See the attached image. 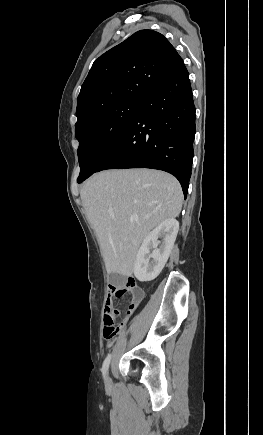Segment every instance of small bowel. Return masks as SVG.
I'll return each mask as SVG.
<instances>
[{"mask_svg":"<svg viewBox=\"0 0 263 435\" xmlns=\"http://www.w3.org/2000/svg\"><path fill=\"white\" fill-rule=\"evenodd\" d=\"M112 309H113V299L112 296L109 295V297L105 301L104 314Z\"/></svg>","mask_w":263,"mask_h":435,"instance_id":"c3829d8e","label":"small bowel"}]
</instances>
